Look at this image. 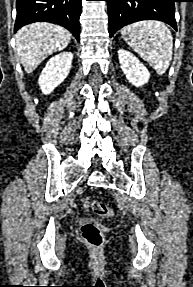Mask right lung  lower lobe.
I'll use <instances>...</instances> for the list:
<instances>
[{
	"label": "right lung lower lobe",
	"mask_w": 193,
	"mask_h": 287,
	"mask_svg": "<svg viewBox=\"0 0 193 287\" xmlns=\"http://www.w3.org/2000/svg\"><path fill=\"white\" fill-rule=\"evenodd\" d=\"M82 0H17L14 32L33 22H52L67 28L79 41Z\"/></svg>",
	"instance_id": "obj_1"
}]
</instances>
